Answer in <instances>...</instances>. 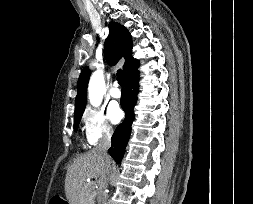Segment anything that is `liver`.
<instances>
[{
  "instance_id": "obj_1",
  "label": "liver",
  "mask_w": 253,
  "mask_h": 204,
  "mask_svg": "<svg viewBox=\"0 0 253 204\" xmlns=\"http://www.w3.org/2000/svg\"><path fill=\"white\" fill-rule=\"evenodd\" d=\"M107 163L111 164V158L94 148L79 156L68 168L65 179V191L70 204H81L82 188L87 178L102 177Z\"/></svg>"
}]
</instances>
